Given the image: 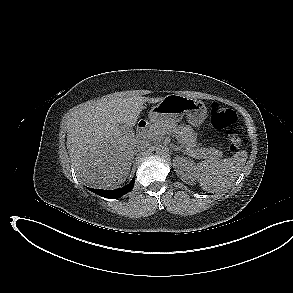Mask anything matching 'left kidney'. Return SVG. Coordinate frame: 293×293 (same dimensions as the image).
I'll return each instance as SVG.
<instances>
[{
  "instance_id": "5707ae66",
  "label": "left kidney",
  "mask_w": 293,
  "mask_h": 293,
  "mask_svg": "<svg viewBox=\"0 0 293 293\" xmlns=\"http://www.w3.org/2000/svg\"><path fill=\"white\" fill-rule=\"evenodd\" d=\"M173 166L175 167L177 176L180 177L183 182L191 183V181H193L196 166L192 160L187 157L178 156L173 159Z\"/></svg>"
}]
</instances>
